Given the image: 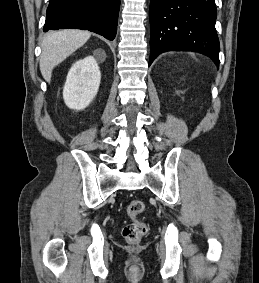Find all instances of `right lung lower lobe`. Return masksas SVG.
I'll list each match as a JSON object with an SVG mask.
<instances>
[{"mask_svg": "<svg viewBox=\"0 0 259 283\" xmlns=\"http://www.w3.org/2000/svg\"><path fill=\"white\" fill-rule=\"evenodd\" d=\"M119 7L120 0H50L43 30L77 28L113 40Z\"/></svg>", "mask_w": 259, "mask_h": 283, "instance_id": "1", "label": "right lung lower lobe"}]
</instances>
